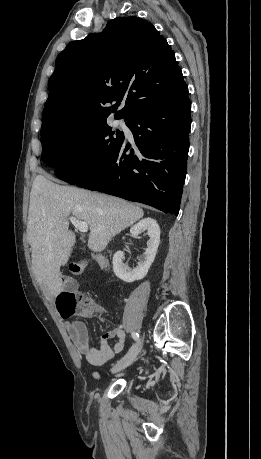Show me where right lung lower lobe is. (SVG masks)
Here are the masks:
<instances>
[{
	"mask_svg": "<svg viewBox=\"0 0 261 459\" xmlns=\"http://www.w3.org/2000/svg\"><path fill=\"white\" fill-rule=\"evenodd\" d=\"M188 87L127 120L136 148L125 141L88 174L69 182L178 215L189 150Z\"/></svg>",
	"mask_w": 261,
	"mask_h": 459,
	"instance_id": "obj_1",
	"label": "right lung lower lobe"
}]
</instances>
